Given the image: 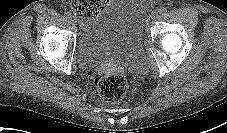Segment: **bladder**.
<instances>
[{
    "label": "bladder",
    "mask_w": 227,
    "mask_h": 133,
    "mask_svg": "<svg viewBox=\"0 0 227 133\" xmlns=\"http://www.w3.org/2000/svg\"><path fill=\"white\" fill-rule=\"evenodd\" d=\"M152 5L153 0H111L81 30L76 46L79 66L114 63L141 71L145 21Z\"/></svg>",
    "instance_id": "31cf9c89"
}]
</instances>
